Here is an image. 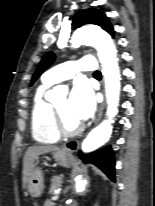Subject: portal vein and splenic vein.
<instances>
[{
	"label": "portal vein and splenic vein",
	"mask_w": 155,
	"mask_h": 206,
	"mask_svg": "<svg viewBox=\"0 0 155 206\" xmlns=\"http://www.w3.org/2000/svg\"><path fill=\"white\" fill-rule=\"evenodd\" d=\"M59 198V194L56 193L53 197H52V200H57Z\"/></svg>",
	"instance_id": "obj_1"
}]
</instances>
